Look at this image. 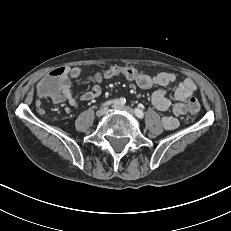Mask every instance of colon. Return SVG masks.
<instances>
[{
	"label": "colon",
	"mask_w": 231,
	"mask_h": 231,
	"mask_svg": "<svg viewBox=\"0 0 231 231\" xmlns=\"http://www.w3.org/2000/svg\"><path fill=\"white\" fill-rule=\"evenodd\" d=\"M63 68L54 69L46 77H43L37 84V94L40 97H48L53 101L58 100L61 97V91L58 87V83L63 76ZM122 75L124 79L128 82H133L136 77L140 75L151 76L157 75L155 72H140L139 69L130 66H112L102 72L97 73L93 80L98 81L105 78H112L115 76ZM202 110V105L196 99V97L191 96L188 99L187 106L184 110L185 115L194 116Z\"/></svg>",
	"instance_id": "obj_1"
}]
</instances>
